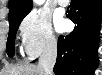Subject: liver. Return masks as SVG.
Wrapping results in <instances>:
<instances>
[{"mask_svg": "<svg viewBox=\"0 0 102 75\" xmlns=\"http://www.w3.org/2000/svg\"><path fill=\"white\" fill-rule=\"evenodd\" d=\"M0 75H46L39 65L24 64L8 66L0 71Z\"/></svg>", "mask_w": 102, "mask_h": 75, "instance_id": "obj_1", "label": "liver"}]
</instances>
